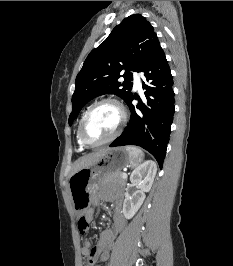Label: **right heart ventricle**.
Here are the masks:
<instances>
[{"instance_id":"1","label":"right heart ventricle","mask_w":233,"mask_h":266,"mask_svg":"<svg viewBox=\"0 0 233 266\" xmlns=\"http://www.w3.org/2000/svg\"><path fill=\"white\" fill-rule=\"evenodd\" d=\"M84 116V115H83ZM82 116V117H83ZM82 119V118H81ZM80 122H81V120H80ZM80 122H79V125H80ZM79 125H78V129H79ZM77 142H78V145H79V147H80V149H84V146L82 145V143L80 142V140H79V138H78V130H77Z\"/></svg>"}]
</instances>
